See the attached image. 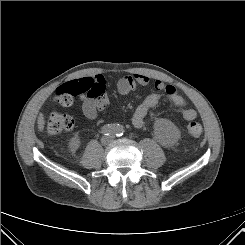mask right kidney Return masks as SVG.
Masks as SVG:
<instances>
[{"instance_id":"right-kidney-1","label":"right kidney","mask_w":245,"mask_h":245,"mask_svg":"<svg viewBox=\"0 0 245 245\" xmlns=\"http://www.w3.org/2000/svg\"><path fill=\"white\" fill-rule=\"evenodd\" d=\"M79 145H80L79 137L78 136L73 137L70 141V148L75 150L79 147Z\"/></svg>"}]
</instances>
